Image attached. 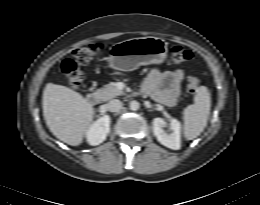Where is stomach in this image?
<instances>
[{
	"label": "stomach",
	"instance_id": "0dacf381",
	"mask_svg": "<svg viewBox=\"0 0 260 205\" xmlns=\"http://www.w3.org/2000/svg\"><path fill=\"white\" fill-rule=\"evenodd\" d=\"M167 52V43L161 38H132L113 45L109 64L116 70L131 71L141 65L163 63Z\"/></svg>",
	"mask_w": 260,
	"mask_h": 205
}]
</instances>
